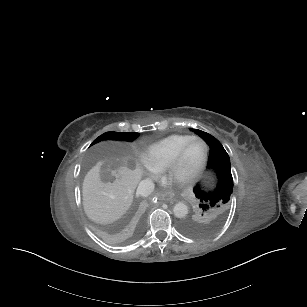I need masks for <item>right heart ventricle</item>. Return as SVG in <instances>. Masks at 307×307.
<instances>
[{
  "mask_svg": "<svg viewBox=\"0 0 307 307\" xmlns=\"http://www.w3.org/2000/svg\"><path fill=\"white\" fill-rule=\"evenodd\" d=\"M189 138L191 135L188 134H170L154 142L138 143L133 146L131 153L150 166L163 167Z\"/></svg>",
  "mask_w": 307,
  "mask_h": 307,
  "instance_id": "right-heart-ventricle-1",
  "label": "right heart ventricle"
}]
</instances>
